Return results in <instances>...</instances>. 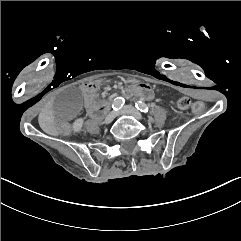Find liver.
I'll return each instance as SVG.
<instances>
[{"label": "liver", "mask_w": 241, "mask_h": 241, "mask_svg": "<svg viewBox=\"0 0 241 241\" xmlns=\"http://www.w3.org/2000/svg\"><path fill=\"white\" fill-rule=\"evenodd\" d=\"M39 125L45 133L52 136H59V133L55 128V119L52 110L47 109L40 114Z\"/></svg>", "instance_id": "liver-1"}]
</instances>
